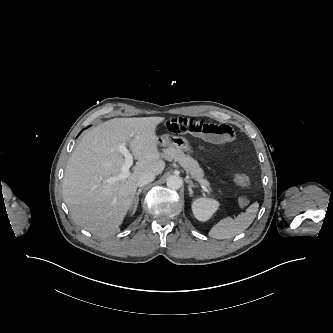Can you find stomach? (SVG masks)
Returning <instances> with one entry per match:
<instances>
[{
  "label": "stomach",
  "mask_w": 333,
  "mask_h": 333,
  "mask_svg": "<svg viewBox=\"0 0 333 333\" xmlns=\"http://www.w3.org/2000/svg\"><path fill=\"white\" fill-rule=\"evenodd\" d=\"M158 144L162 147L169 148L175 147L179 150L190 151L188 141L184 137L172 136L169 134L158 137Z\"/></svg>",
  "instance_id": "obj_1"
}]
</instances>
